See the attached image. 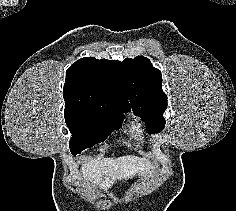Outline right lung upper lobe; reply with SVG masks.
Returning <instances> with one entry per match:
<instances>
[{
    "label": "right lung upper lobe",
    "mask_w": 236,
    "mask_h": 211,
    "mask_svg": "<svg viewBox=\"0 0 236 211\" xmlns=\"http://www.w3.org/2000/svg\"><path fill=\"white\" fill-rule=\"evenodd\" d=\"M65 110L129 111L121 62L93 57L76 61L66 72Z\"/></svg>",
    "instance_id": "obj_1"
}]
</instances>
